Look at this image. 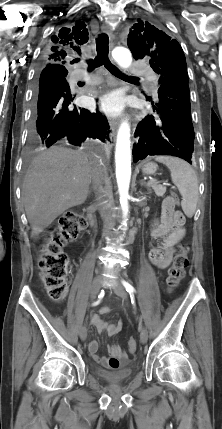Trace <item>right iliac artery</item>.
Wrapping results in <instances>:
<instances>
[{"label": "right iliac artery", "instance_id": "82829eb1", "mask_svg": "<svg viewBox=\"0 0 222 429\" xmlns=\"http://www.w3.org/2000/svg\"><path fill=\"white\" fill-rule=\"evenodd\" d=\"M99 302L97 301V302H95L93 305H97Z\"/></svg>", "mask_w": 222, "mask_h": 429}]
</instances>
